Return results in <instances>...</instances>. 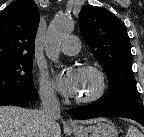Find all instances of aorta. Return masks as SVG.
Wrapping results in <instances>:
<instances>
[{
	"label": "aorta",
	"mask_w": 144,
	"mask_h": 137,
	"mask_svg": "<svg viewBox=\"0 0 144 137\" xmlns=\"http://www.w3.org/2000/svg\"><path fill=\"white\" fill-rule=\"evenodd\" d=\"M73 30V22L64 16H56L50 23L46 34L45 51L49 59L57 62L60 45L64 38Z\"/></svg>",
	"instance_id": "aorta-1"
}]
</instances>
